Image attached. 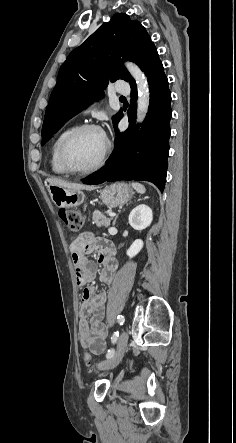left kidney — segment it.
<instances>
[{
  "instance_id": "left-kidney-1",
  "label": "left kidney",
  "mask_w": 236,
  "mask_h": 443,
  "mask_svg": "<svg viewBox=\"0 0 236 443\" xmlns=\"http://www.w3.org/2000/svg\"><path fill=\"white\" fill-rule=\"evenodd\" d=\"M153 220V213L149 206L145 204L135 207L129 215V224L135 230H143L150 226ZM143 248V241L141 239L135 240L130 248L127 250V255L132 258L136 256Z\"/></svg>"
}]
</instances>
